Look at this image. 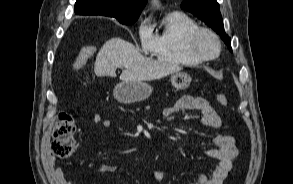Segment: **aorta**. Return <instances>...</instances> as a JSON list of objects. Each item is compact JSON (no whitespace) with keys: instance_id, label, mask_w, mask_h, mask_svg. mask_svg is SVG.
Returning <instances> with one entry per match:
<instances>
[{"instance_id":"obj_1","label":"aorta","mask_w":293,"mask_h":184,"mask_svg":"<svg viewBox=\"0 0 293 184\" xmlns=\"http://www.w3.org/2000/svg\"><path fill=\"white\" fill-rule=\"evenodd\" d=\"M158 3V1L157 0H153V4L155 5V4H157Z\"/></svg>"}]
</instances>
